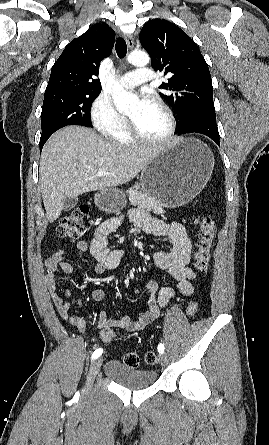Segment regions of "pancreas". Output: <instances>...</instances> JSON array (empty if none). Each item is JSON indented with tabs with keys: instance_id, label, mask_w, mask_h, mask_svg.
<instances>
[{
	"instance_id": "cf45deb5",
	"label": "pancreas",
	"mask_w": 269,
	"mask_h": 445,
	"mask_svg": "<svg viewBox=\"0 0 269 445\" xmlns=\"http://www.w3.org/2000/svg\"><path fill=\"white\" fill-rule=\"evenodd\" d=\"M129 201L132 205L138 206L147 211H153L155 214H162L164 210L159 203L151 198L146 192L139 191V185H135L126 191Z\"/></svg>"
}]
</instances>
